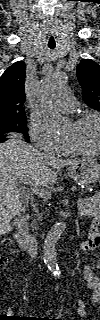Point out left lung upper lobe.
<instances>
[{"label":"left lung upper lobe","instance_id":"5c2ea615","mask_svg":"<svg viewBox=\"0 0 100 320\" xmlns=\"http://www.w3.org/2000/svg\"><path fill=\"white\" fill-rule=\"evenodd\" d=\"M76 70L83 90V101L93 109L100 111V66L90 59H83L77 65Z\"/></svg>","mask_w":100,"mask_h":320}]
</instances>
